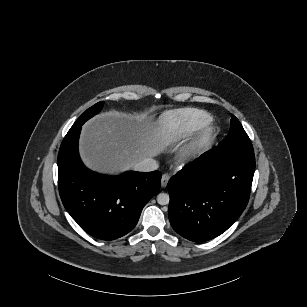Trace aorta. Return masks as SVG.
Listing matches in <instances>:
<instances>
[{"instance_id": "aorta-1", "label": "aorta", "mask_w": 307, "mask_h": 307, "mask_svg": "<svg viewBox=\"0 0 307 307\" xmlns=\"http://www.w3.org/2000/svg\"><path fill=\"white\" fill-rule=\"evenodd\" d=\"M169 195L166 193H160L157 195V202L160 205H167L169 203Z\"/></svg>"}]
</instances>
